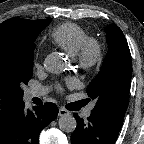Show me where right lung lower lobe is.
<instances>
[{"mask_svg":"<svg viewBox=\"0 0 144 144\" xmlns=\"http://www.w3.org/2000/svg\"><path fill=\"white\" fill-rule=\"evenodd\" d=\"M24 105L0 129V144H38L41 130L58 114L54 103L35 106L34 111L25 110Z\"/></svg>","mask_w":144,"mask_h":144,"instance_id":"right-lung-lower-lobe-1","label":"right lung lower lobe"}]
</instances>
